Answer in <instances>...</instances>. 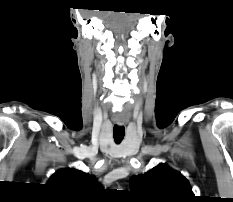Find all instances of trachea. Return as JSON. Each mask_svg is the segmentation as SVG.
Listing matches in <instances>:
<instances>
[{
  "mask_svg": "<svg viewBox=\"0 0 233 202\" xmlns=\"http://www.w3.org/2000/svg\"><path fill=\"white\" fill-rule=\"evenodd\" d=\"M125 135V128L123 126L115 125L113 128V137L116 143H120Z\"/></svg>",
  "mask_w": 233,
  "mask_h": 202,
  "instance_id": "trachea-1",
  "label": "trachea"
}]
</instances>
